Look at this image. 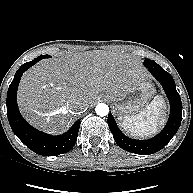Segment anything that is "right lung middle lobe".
I'll list each match as a JSON object with an SVG mask.
<instances>
[{
  "label": "right lung middle lobe",
  "mask_w": 193,
  "mask_h": 193,
  "mask_svg": "<svg viewBox=\"0 0 193 193\" xmlns=\"http://www.w3.org/2000/svg\"><path fill=\"white\" fill-rule=\"evenodd\" d=\"M49 57H50L49 55H44V56L38 57L37 59L41 60L42 58H49Z\"/></svg>",
  "instance_id": "obj_1"
}]
</instances>
